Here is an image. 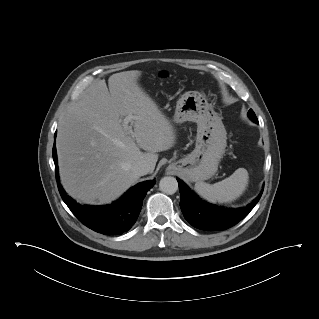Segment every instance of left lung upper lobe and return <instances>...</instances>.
<instances>
[{
    "label": "left lung upper lobe",
    "mask_w": 319,
    "mask_h": 319,
    "mask_svg": "<svg viewBox=\"0 0 319 319\" xmlns=\"http://www.w3.org/2000/svg\"><path fill=\"white\" fill-rule=\"evenodd\" d=\"M248 116H249V118L251 119V120H253L254 122L255 121H258L257 120V118H256V116H255V113L253 112V110H249V112H248Z\"/></svg>",
    "instance_id": "obj_1"
}]
</instances>
